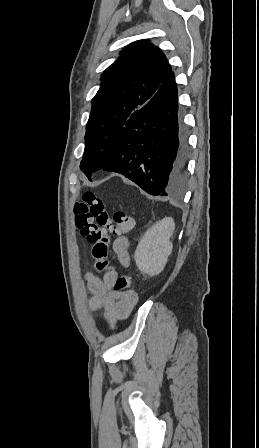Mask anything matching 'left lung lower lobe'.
Returning <instances> with one entry per match:
<instances>
[{
  "instance_id": "1",
  "label": "left lung lower lobe",
  "mask_w": 259,
  "mask_h": 448,
  "mask_svg": "<svg viewBox=\"0 0 259 448\" xmlns=\"http://www.w3.org/2000/svg\"><path fill=\"white\" fill-rule=\"evenodd\" d=\"M174 73L152 98L128 116L123 128L90 163L123 174L154 196H168L183 185L189 155L188 134L178 107Z\"/></svg>"
}]
</instances>
